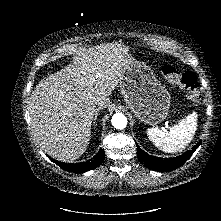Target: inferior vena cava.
Returning a JSON list of instances; mask_svg holds the SVG:
<instances>
[{"label":"inferior vena cava","instance_id":"1","mask_svg":"<svg viewBox=\"0 0 221 221\" xmlns=\"http://www.w3.org/2000/svg\"><path fill=\"white\" fill-rule=\"evenodd\" d=\"M109 102V99L106 98V97H98L96 100H95V104L98 105L99 107H106L107 104Z\"/></svg>","mask_w":221,"mask_h":221}]
</instances>
